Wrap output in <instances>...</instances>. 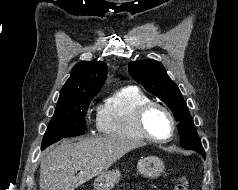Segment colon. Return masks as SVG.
<instances>
[{
    "label": "colon",
    "mask_w": 238,
    "mask_h": 190,
    "mask_svg": "<svg viewBox=\"0 0 238 190\" xmlns=\"http://www.w3.org/2000/svg\"><path fill=\"white\" fill-rule=\"evenodd\" d=\"M174 190H188L187 181L185 179H181L175 186Z\"/></svg>",
    "instance_id": "1"
}]
</instances>
